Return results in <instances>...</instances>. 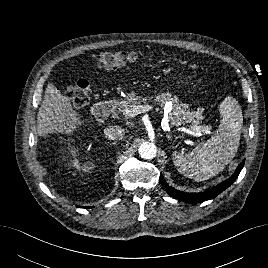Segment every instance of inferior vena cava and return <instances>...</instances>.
Returning <instances> with one entry per match:
<instances>
[{
    "label": "inferior vena cava",
    "instance_id": "602c4592",
    "mask_svg": "<svg viewBox=\"0 0 268 268\" xmlns=\"http://www.w3.org/2000/svg\"><path fill=\"white\" fill-rule=\"evenodd\" d=\"M124 133H125L124 129L117 125L108 126L104 130V135L109 140H120L123 138Z\"/></svg>",
    "mask_w": 268,
    "mask_h": 268
}]
</instances>
